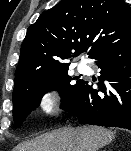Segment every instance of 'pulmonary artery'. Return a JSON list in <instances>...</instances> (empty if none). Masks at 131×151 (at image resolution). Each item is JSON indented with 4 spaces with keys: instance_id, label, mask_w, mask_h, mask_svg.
Returning <instances> with one entry per match:
<instances>
[{
    "instance_id": "pulmonary-artery-1",
    "label": "pulmonary artery",
    "mask_w": 131,
    "mask_h": 151,
    "mask_svg": "<svg viewBox=\"0 0 131 151\" xmlns=\"http://www.w3.org/2000/svg\"><path fill=\"white\" fill-rule=\"evenodd\" d=\"M86 70H87V66H86V65L80 64V65L78 66V71H79V72H85Z\"/></svg>"
}]
</instances>
